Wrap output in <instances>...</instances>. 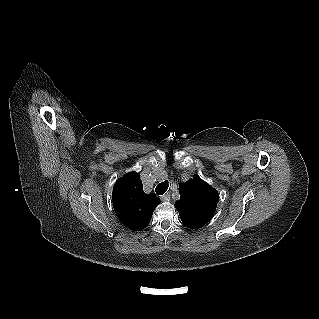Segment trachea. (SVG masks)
Instances as JSON below:
<instances>
[{
  "label": "trachea",
  "mask_w": 319,
  "mask_h": 319,
  "mask_svg": "<svg viewBox=\"0 0 319 319\" xmlns=\"http://www.w3.org/2000/svg\"><path fill=\"white\" fill-rule=\"evenodd\" d=\"M168 189V182L164 181L161 182L157 185V187L155 188V192L157 195H163Z\"/></svg>",
  "instance_id": "1"
}]
</instances>
